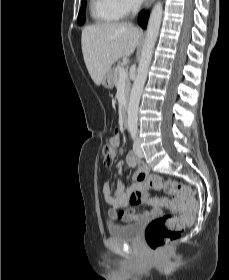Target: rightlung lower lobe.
<instances>
[{"label": "right lung lower lobe", "mask_w": 229, "mask_h": 280, "mask_svg": "<svg viewBox=\"0 0 229 280\" xmlns=\"http://www.w3.org/2000/svg\"><path fill=\"white\" fill-rule=\"evenodd\" d=\"M148 21V13L145 11H142L138 16V22L141 27L146 28Z\"/></svg>", "instance_id": "1"}]
</instances>
